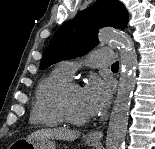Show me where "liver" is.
I'll use <instances>...</instances> for the list:
<instances>
[{
	"label": "liver",
	"instance_id": "obj_1",
	"mask_svg": "<svg viewBox=\"0 0 155 149\" xmlns=\"http://www.w3.org/2000/svg\"><path fill=\"white\" fill-rule=\"evenodd\" d=\"M80 132L66 128H46L40 129L31 133L27 138L35 139L40 137H47L50 139L73 141L80 137Z\"/></svg>",
	"mask_w": 155,
	"mask_h": 149
}]
</instances>
